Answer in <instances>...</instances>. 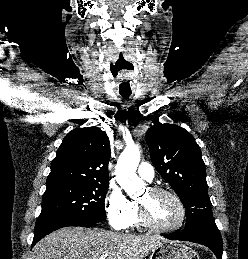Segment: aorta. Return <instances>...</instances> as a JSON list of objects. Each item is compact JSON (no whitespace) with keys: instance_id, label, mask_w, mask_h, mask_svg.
<instances>
[{"instance_id":"obj_1","label":"aorta","mask_w":248,"mask_h":259,"mask_svg":"<svg viewBox=\"0 0 248 259\" xmlns=\"http://www.w3.org/2000/svg\"><path fill=\"white\" fill-rule=\"evenodd\" d=\"M139 162L140 147L132 144L124 149L116 165V181L131 197L136 196L144 188L143 181L136 174Z\"/></svg>"}]
</instances>
